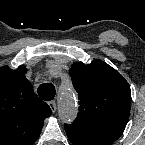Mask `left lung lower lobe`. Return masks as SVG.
<instances>
[{
	"mask_svg": "<svg viewBox=\"0 0 145 145\" xmlns=\"http://www.w3.org/2000/svg\"><path fill=\"white\" fill-rule=\"evenodd\" d=\"M69 140L74 145H111L125 129L118 125H64Z\"/></svg>",
	"mask_w": 145,
	"mask_h": 145,
	"instance_id": "left-lung-lower-lobe-1",
	"label": "left lung lower lobe"
}]
</instances>
